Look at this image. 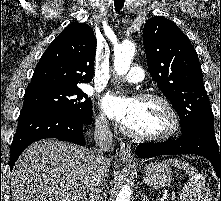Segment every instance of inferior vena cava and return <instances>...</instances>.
Instances as JSON below:
<instances>
[{"label":"inferior vena cava","instance_id":"obj_1","mask_svg":"<svg viewBox=\"0 0 221 201\" xmlns=\"http://www.w3.org/2000/svg\"><path fill=\"white\" fill-rule=\"evenodd\" d=\"M94 140L100 149L92 150L93 164L90 180V201H102L105 189V177L109 158L104 156L113 142V135L108 127L107 119L102 117L95 121Z\"/></svg>","mask_w":221,"mask_h":201}]
</instances>
